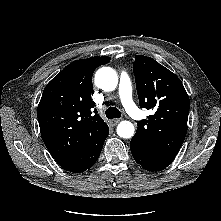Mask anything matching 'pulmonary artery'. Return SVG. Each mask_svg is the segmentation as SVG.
I'll use <instances>...</instances> for the list:
<instances>
[{
	"label": "pulmonary artery",
	"mask_w": 221,
	"mask_h": 221,
	"mask_svg": "<svg viewBox=\"0 0 221 221\" xmlns=\"http://www.w3.org/2000/svg\"><path fill=\"white\" fill-rule=\"evenodd\" d=\"M121 103L126 112L134 120H142L144 115L142 111L136 106L132 97V86L130 79L126 73H122L120 76L119 87H118Z\"/></svg>",
	"instance_id": "1"
}]
</instances>
